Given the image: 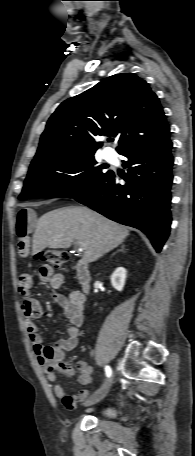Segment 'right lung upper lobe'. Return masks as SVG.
I'll return each instance as SVG.
<instances>
[{
    "instance_id": "obj_1",
    "label": "right lung upper lobe",
    "mask_w": 195,
    "mask_h": 456,
    "mask_svg": "<svg viewBox=\"0 0 195 456\" xmlns=\"http://www.w3.org/2000/svg\"><path fill=\"white\" fill-rule=\"evenodd\" d=\"M159 99L149 84L130 73L113 75L65 100L49 118L31 166L93 155L98 136H118V153L169 138Z\"/></svg>"
}]
</instances>
